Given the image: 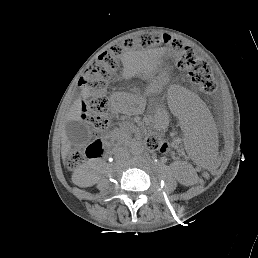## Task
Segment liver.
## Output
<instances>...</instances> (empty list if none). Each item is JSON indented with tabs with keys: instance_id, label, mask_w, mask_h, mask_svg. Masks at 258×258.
<instances>
[{
	"instance_id": "liver-1",
	"label": "liver",
	"mask_w": 258,
	"mask_h": 258,
	"mask_svg": "<svg viewBox=\"0 0 258 258\" xmlns=\"http://www.w3.org/2000/svg\"><path fill=\"white\" fill-rule=\"evenodd\" d=\"M133 73H135V71L132 70V68L128 64H125L124 74L126 76H130V75H133ZM81 97L82 98H80L72 107V110L70 112V117H69L70 121H73V120L80 121L81 120V115H82V103H81V100L82 99L83 100L87 99L89 97V93L87 91H83L82 94H81ZM70 149H71V142L68 140V137L65 134L64 135L63 145H62V156H63V158H66V156L68 155Z\"/></svg>"
}]
</instances>
